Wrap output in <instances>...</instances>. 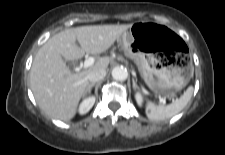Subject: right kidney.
Wrapping results in <instances>:
<instances>
[{
	"instance_id": "1",
	"label": "right kidney",
	"mask_w": 225,
	"mask_h": 155,
	"mask_svg": "<svg viewBox=\"0 0 225 155\" xmlns=\"http://www.w3.org/2000/svg\"><path fill=\"white\" fill-rule=\"evenodd\" d=\"M94 103L95 97L93 96L84 99L79 106V113L86 114L93 107Z\"/></svg>"
}]
</instances>
